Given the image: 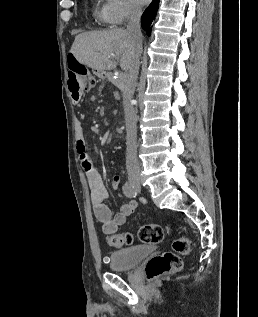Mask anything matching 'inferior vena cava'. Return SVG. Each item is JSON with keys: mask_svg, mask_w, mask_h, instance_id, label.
I'll use <instances>...</instances> for the list:
<instances>
[{"mask_svg": "<svg viewBox=\"0 0 258 317\" xmlns=\"http://www.w3.org/2000/svg\"><path fill=\"white\" fill-rule=\"evenodd\" d=\"M140 16L141 6L134 4L127 24V32H130L131 38L135 44V52L133 56V62L129 66V72L127 74L126 86L128 88V96L131 100L134 94V88L139 72L140 52L142 46V32L140 30ZM125 122H126V167L128 171V177L130 180H139L141 175L139 173V165L137 159V116L133 108V104H125Z\"/></svg>", "mask_w": 258, "mask_h": 317, "instance_id": "obj_1", "label": "inferior vena cava"}]
</instances>
